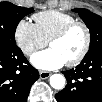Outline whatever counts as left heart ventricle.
Instances as JSON below:
<instances>
[{
    "instance_id": "1",
    "label": "left heart ventricle",
    "mask_w": 102,
    "mask_h": 102,
    "mask_svg": "<svg viewBox=\"0 0 102 102\" xmlns=\"http://www.w3.org/2000/svg\"><path fill=\"white\" fill-rule=\"evenodd\" d=\"M85 32L81 27L75 28L63 39L53 42L50 48L66 62L75 59L82 51L85 44Z\"/></svg>"
}]
</instances>
